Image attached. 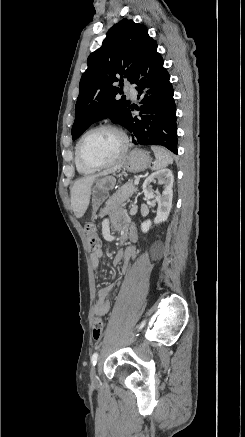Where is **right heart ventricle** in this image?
<instances>
[{"label":"right heart ventricle","mask_w":245,"mask_h":437,"mask_svg":"<svg viewBox=\"0 0 245 437\" xmlns=\"http://www.w3.org/2000/svg\"><path fill=\"white\" fill-rule=\"evenodd\" d=\"M74 163H75V167H76L77 171L82 175H89V174L94 173V171H95V169L87 167L84 164H82L81 161L79 160L76 152H75Z\"/></svg>","instance_id":"e07e8e85"}]
</instances>
